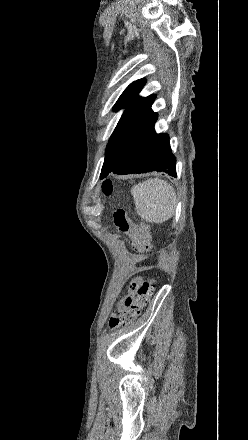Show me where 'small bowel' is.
<instances>
[{
	"label": "small bowel",
	"mask_w": 248,
	"mask_h": 440,
	"mask_svg": "<svg viewBox=\"0 0 248 440\" xmlns=\"http://www.w3.org/2000/svg\"><path fill=\"white\" fill-rule=\"evenodd\" d=\"M127 233L129 234L130 238L132 239L133 248L138 251L137 244H138V240H139V236H140V228L137 226H131V229ZM131 260L132 261H139V260H141V256L140 255H133L131 257Z\"/></svg>",
	"instance_id": "1"
}]
</instances>
